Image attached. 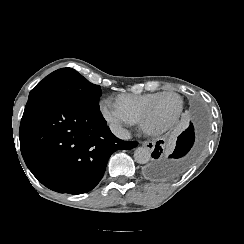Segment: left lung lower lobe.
Listing matches in <instances>:
<instances>
[{
  "instance_id": "0a47b994",
  "label": "left lung lower lobe",
  "mask_w": 244,
  "mask_h": 244,
  "mask_svg": "<svg viewBox=\"0 0 244 244\" xmlns=\"http://www.w3.org/2000/svg\"><path fill=\"white\" fill-rule=\"evenodd\" d=\"M195 140L194 127L190 126L178 136L174 152L167 158H159L162 152L159 144H156L152 157L155 160L149 162L145 167L148 177L154 179L172 177L180 173L191 161V156L185 157L191 150Z\"/></svg>"
}]
</instances>
